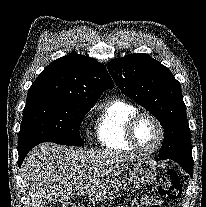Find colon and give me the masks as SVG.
<instances>
[{
	"label": "colon",
	"instance_id": "1",
	"mask_svg": "<svg viewBox=\"0 0 206 207\" xmlns=\"http://www.w3.org/2000/svg\"><path fill=\"white\" fill-rule=\"evenodd\" d=\"M158 194L170 200H177L181 196L182 185L179 174L173 170L165 171L157 186ZM62 207H71L70 205H64Z\"/></svg>",
	"mask_w": 206,
	"mask_h": 207
}]
</instances>
